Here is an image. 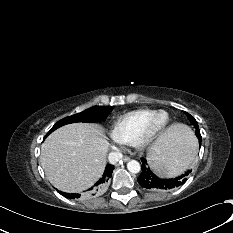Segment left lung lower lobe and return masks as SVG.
<instances>
[{"mask_svg": "<svg viewBox=\"0 0 233 233\" xmlns=\"http://www.w3.org/2000/svg\"><path fill=\"white\" fill-rule=\"evenodd\" d=\"M199 145H201V139H199ZM141 161L142 171L137 181L142 187L154 191L170 190L184 184L187 180V176L191 174L192 171L188 170L185 174L175 178H159L151 171L145 158H142Z\"/></svg>", "mask_w": 233, "mask_h": 233, "instance_id": "left-lung-lower-lobe-1", "label": "left lung lower lobe"}]
</instances>
